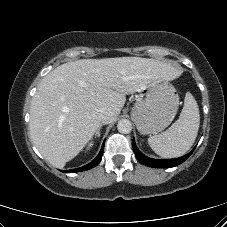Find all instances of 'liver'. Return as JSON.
I'll return each mask as SVG.
<instances>
[{"label": "liver", "mask_w": 227, "mask_h": 227, "mask_svg": "<svg viewBox=\"0 0 227 227\" xmlns=\"http://www.w3.org/2000/svg\"><path fill=\"white\" fill-rule=\"evenodd\" d=\"M178 75L170 64L141 57L64 63L42 79L32 99V141L47 161L63 168L100 127L101 110H111L114 121L127 94L151 81H169Z\"/></svg>", "instance_id": "1"}]
</instances>
